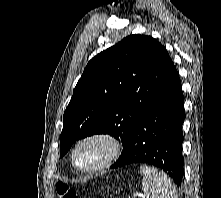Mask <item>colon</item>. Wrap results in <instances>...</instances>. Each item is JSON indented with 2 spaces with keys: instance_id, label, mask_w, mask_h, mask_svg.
Masks as SVG:
<instances>
[{
  "instance_id": "obj_1",
  "label": "colon",
  "mask_w": 221,
  "mask_h": 198,
  "mask_svg": "<svg viewBox=\"0 0 221 198\" xmlns=\"http://www.w3.org/2000/svg\"><path fill=\"white\" fill-rule=\"evenodd\" d=\"M56 191L58 198H79L75 189L62 182L57 183Z\"/></svg>"
}]
</instances>
